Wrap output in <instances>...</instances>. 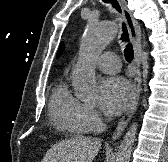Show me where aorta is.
Segmentation results:
<instances>
[{
    "label": "aorta",
    "mask_w": 168,
    "mask_h": 162,
    "mask_svg": "<svg viewBox=\"0 0 168 162\" xmlns=\"http://www.w3.org/2000/svg\"><path fill=\"white\" fill-rule=\"evenodd\" d=\"M117 28L113 22L87 23L80 46V59L72 71V84L76 95L83 101L94 100L98 95V84L92 60L102 53L115 38ZM137 123H133L123 137L115 162H129L136 138Z\"/></svg>",
    "instance_id": "1"
}]
</instances>
